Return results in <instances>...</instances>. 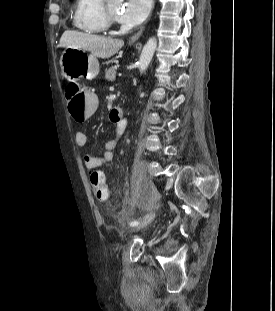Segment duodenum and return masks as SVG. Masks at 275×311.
<instances>
[{"mask_svg": "<svg viewBox=\"0 0 275 311\" xmlns=\"http://www.w3.org/2000/svg\"><path fill=\"white\" fill-rule=\"evenodd\" d=\"M117 110H122V109L117 107V108L112 109V112H116Z\"/></svg>", "mask_w": 275, "mask_h": 311, "instance_id": "410a0bca", "label": "duodenum"}]
</instances>
